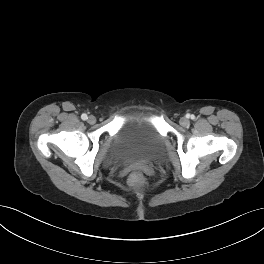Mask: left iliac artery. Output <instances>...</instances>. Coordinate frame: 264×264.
<instances>
[{
	"instance_id": "left-iliac-artery-1",
	"label": "left iliac artery",
	"mask_w": 264,
	"mask_h": 264,
	"mask_svg": "<svg viewBox=\"0 0 264 264\" xmlns=\"http://www.w3.org/2000/svg\"><path fill=\"white\" fill-rule=\"evenodd\" d=\"M190 117H191V119H193L194 118V115H191Z\"/></svg>"
}]
</instances>
